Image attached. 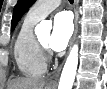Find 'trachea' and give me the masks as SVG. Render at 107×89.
<instances>
[{
  "label": "trachea",
  "mask_w": 107,
  "mask_h": 89,
  "mask_svg": "<svg viewBox=\"0 0 107 89\" xmlns=\"http://www.w3.org/2000/svg\"><path fill=\"white\" fill-rule=\"evenodd\" d=\"M69 2L72 4L74 2V0H69Z\"/></svg>",
  "instance_id": "obj_1"
}]
</instances>
